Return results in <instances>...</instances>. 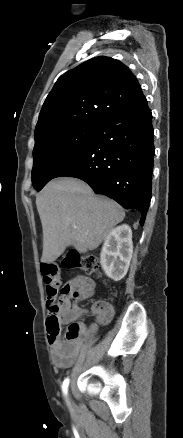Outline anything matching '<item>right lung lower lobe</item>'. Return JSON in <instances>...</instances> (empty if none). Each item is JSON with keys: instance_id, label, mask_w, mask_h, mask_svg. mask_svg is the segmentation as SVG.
<instances>
[{"instance_id": "98d812e1", "label": "right lung lower lobe", "mask_w": 183, "mask_h": 438, "mask_svg": "<svg viewBox=\"0 0 183 438\" xmlns=\"http://www.w3.org/2000/svg\"><path fill=\"white\" fill-rule=\"evenodd\" d=\"M154 142L146 98L96 125L89 144L54 178H79L97 194L142 214L151 200Z\"/></svg>"}]
</instances>
